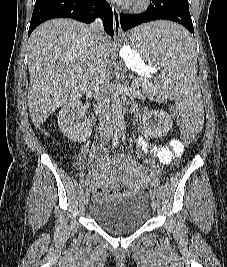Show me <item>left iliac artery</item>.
I'll use <instances>...</instances> for the list:
<instances>
[{"label":"left iliac artery","instance_id":"44dca946","mask_svg":"<svg viewBox=\"0 0 227 267\" xmlns=\"http://www.w3.org/2000/svg\"><path fill=\"white\" fill-rule=\"evenodd\" d=\"M118 134L120 137H122V140H124V141L126 140V137H125L123 132H119Z\"/></svg>","mask_w":227,"mask_h":267}]
</instances>
